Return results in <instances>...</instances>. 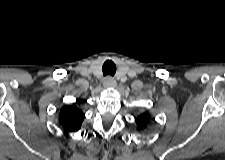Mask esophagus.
I'll list each match as a JSON object with an SVG mask.
<instances>
[{
    "instance_id": "1",
    "label": "esophagus",
    "mask_w": 225,
    "mask_h": 160,
    "mask_svg": "<svg viewBox=\"0 0 225 160\" xmlns=\"http://www.w3.org/2000/svg\"><path fill=\"white\" fill-rule=\"evenodd\" d=\"M103 86H104V88L115 87L116 86V81H115L114 78H112L110 76H107L104 79Z\"/></svg>"
}]
</instances>
